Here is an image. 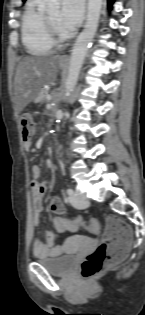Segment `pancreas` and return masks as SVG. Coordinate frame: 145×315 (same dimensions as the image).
Wrapping results in <instances>:
<instances>
[{
    "mask_svg": "<svg viewBox=\"0 0 145 315\" xmlns=\"http://www.w3.org/2000/svg\"><path fill=\"white\" fill-rule=\"evenodd\" d=\"M40 101H47V95L44 93H41L40 97H39Z\"/></svg>",
    "mask_w": 145,
    "mask_h": 315,
    "instance_id": "cf45deb5",
    "label": "pancreas"
}]
</instances>
